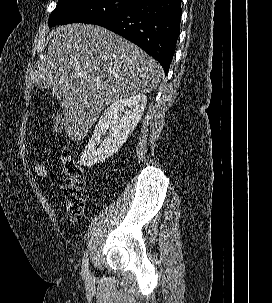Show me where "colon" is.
Wrapping results in <instances>:
<instances>
[{
	"instance_id": "colon-1",
	"label": "colon",
	"mask_w": 272,
	"mask_h": 303,
	"mask_svg": "<svg viewBox=\"0 0 272 303\" xmlns=\"http://www.w3.org/2000/svg\"><path fill=\"white\" fill-rule=\"evenodd\" d=\"M52 131L55 133L62 131V120L58 116L53 119ZM61 163L66 175L63 187L66 210L71 219L78 220L84 212L87 190L83 182L81 168L75 161L71 148L67 145L61 149ZM32 167L37 178L47 179L49 177V167L43 160H35Z\"/></svg>"
}]
</instances>
